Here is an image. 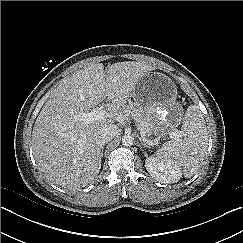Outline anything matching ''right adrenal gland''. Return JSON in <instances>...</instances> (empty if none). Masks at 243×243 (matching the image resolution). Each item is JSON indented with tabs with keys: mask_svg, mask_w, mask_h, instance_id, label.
<instances>
[{
	"mask_svg": "<svg viewBox=\"0 0 243 243\" xmlns=\"http://www.w3.org/2000/svg\"><path fill=\"white\" fill-rule=\"evenodd\" d=\"M103 150H104V145H103V147H102L101 157L103 156Z\"/></svg>",
	"mask_w": 243,
	"mask_h": 243,
	"instance_id": "2a0ac1e0",
	"label": "right adrenal gland"
}]
</instances>
